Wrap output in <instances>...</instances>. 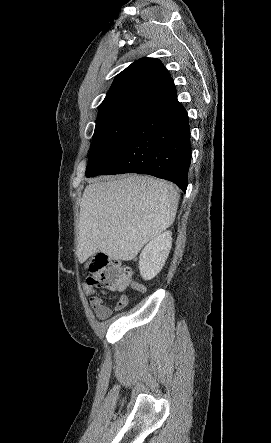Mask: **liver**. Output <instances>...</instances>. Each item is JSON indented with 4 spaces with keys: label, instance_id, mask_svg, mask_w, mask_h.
I'll return each instance as SVG.
<instances>
[{
    "label": "liver",
    "instance_id": "obj_1",
    "mask_svg": "<svg viewBox=\"0 0 271 443\" xmlns=\"http://www.w3.org/2000/svg\"><path fill=\"white\" fill-rule=\"evenodd\" d=\"M180 194L149 176H110L86 186L80 204L77 257L95 251L134 259L141 247L174 222Z\"/></svg>",
    "mask_w": 271,
    "mask_h": 443
}]
</instances>
